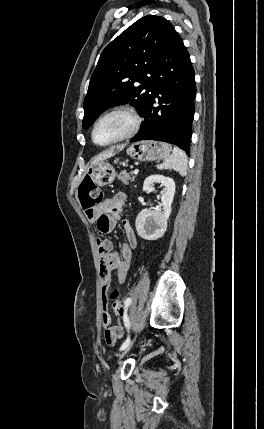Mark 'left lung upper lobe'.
Instances as JSON below:
<instances>
[{
  "label": "left lung upper lobe",
  "instance_id": "1",
  "mask_svg": "<svg viewBox=\"0 0 264 429\" xmlns=\"http://www.w3.org/2000/svg\"><path fill=\"white\" fill-rule=\"evenodd\" d=\"M173 28L165 18L147 15L103 50L84 99V129L109 107L126 102L141 115L150 98L155 69Z\"/></svg>",
  "mask_w": 264,
  "mask_h": 429
}]
</instances>
